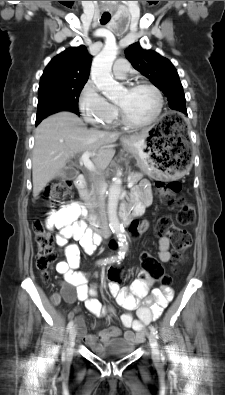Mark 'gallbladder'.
I'll list each match as a JSON object with an SVG mask.
<instances>
[{
  "instance_id": "1",
  "label": "gallbladder",
  "mask_w": 225,
  "mask_h": 395,
  "mask_svg": "<svg viewBox=\"0 0 225 395\" xmlns=\"http://www.w3.org/2000/svg\"><path fill=\"white\" fill-rule=\"evenodd\" d=\"M78 175V171L70 164L61 170L58 174V178L62 179H74Z\"/></svg>"
}]
</instances>
